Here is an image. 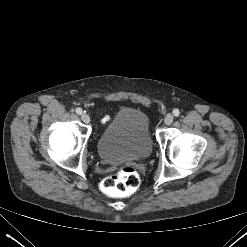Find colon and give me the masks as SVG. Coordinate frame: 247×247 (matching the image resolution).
<instances>
[{
    "instance_id": "1",
    "label": "colon",
    "mask_w": 247,
    "mask_h": 247,
    "mask_svg": "<svg viewBox=\"0 0 247 247\" xmlns=\"http://www.w3.org/2000/svg\"><path fill=\"white\" fill-rule=\"evenodd\" d=\"M139 184L140 176L137 170L134 167L125 166L115 174L105 178L102 188L111 196H127L132 194Z\"/></svg>"
}]
</instances>
